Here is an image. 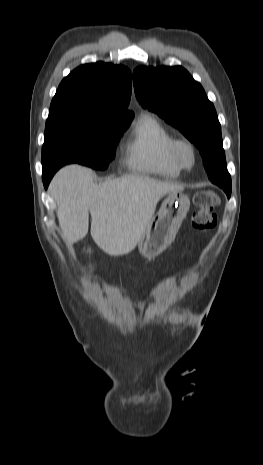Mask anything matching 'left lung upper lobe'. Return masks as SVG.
<instances>
[{
	"mask_svg": "<svg viewBox=\"0 0 263 465\" xmlns=\"http://www.w3.org/2000/svg\"><path fill=\"white\" fill-rule=\"evenodd\" d=\"M137 100L178 128L200 150L218 161L216 181L228 198L231 177L222 146L221 126L216 110L202 86L180 66L138 67L133 72Z\"/></svg>",
	"mask_w": 263,
	"mask_h": 465,
	"instance_id": "1",
	"label": "left lung upper lobe"
}]
</instances>
